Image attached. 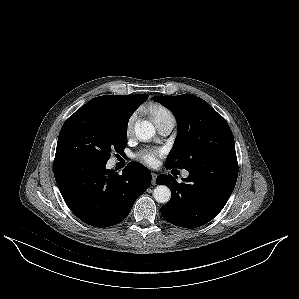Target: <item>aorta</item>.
Here are the masks:
<instances>
[{
  "mask_svg": "<svg viewBox=\"0 0 299 299\" xmlns=\"http://www.w3.org/2000/svg\"><path fill=\"white\" fill-rule=\"evenodd\" d=\"M155 127L147 120L138 122L135 125L136 137L140 140L148 141L155 135ZM154 199L161 204H166L171 198V191L165 185H158L153 191Z\"/></svg>",
  "mask_w": 299,
  "mask_h": 299,
  "instance_id": "762f6f07",
  "label": "aorta"
}]
</instances>
